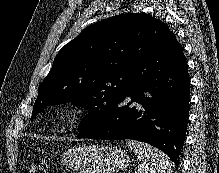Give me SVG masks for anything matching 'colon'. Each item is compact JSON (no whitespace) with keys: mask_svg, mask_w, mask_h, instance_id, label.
Here are the masks:
<instances>
[{"mask_svg":"<svg viewBox=\"0 0 219 173\" xmlns=\"http://www.w3.org/2000/svg\"><path fill=\"white\" fill-rule=\"evenodd\" d=\"M29 173H46L45 163L42 160H34L30 165Z\"/></svg>","mask_w":219,"mask_h":173,"instance_id":"1","label":"colon"}]
</instances>
